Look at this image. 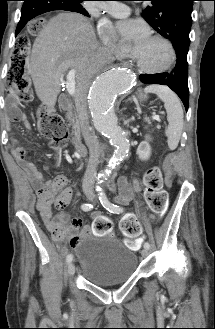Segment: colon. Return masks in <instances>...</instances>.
I'll return each instance as SVG.
<instances>
[{
	"label": "colon",
	"mask_w": 215,
	"mask_h": 329,
	"mask_svg": "<svg viewBox=\"0 0 215 329\" xmlns=\"http://www.w3.org/2000/svg\"><path fill=\"white\" fill-rule=\"evenodd\" d=\"M51 14H38L37 19H32V25H28V32H45V26H49ZM31 37L21 36L17 38V44L12 54L11 67L9 72L8 90L11 93L9 102L6 103L7 109H22L23 103L30 99V90L25 78L24 68L27 52ZM39 130L46 139L50 140L53 146L59 148L67 142V131L62 117L50 110L40 109L38 111ZM145 199L149 208L153 211V217H169L167 210L168 196L163 189V179L158 167H149L144 174ZM62 184H59L43 192V200L46 205H55L61 208L63 201L61 198ZM96 220H109L105 217ZM121 231L129 239L137 238L141 233V225L133 216H127L121 222ZM53 233L61 237L63 230L55 225ZM130 246L136 247L137 242L128 240Z\"/></svg>",
	"instance_id": "1"
}]
</instances>
